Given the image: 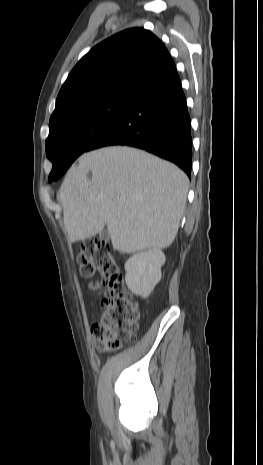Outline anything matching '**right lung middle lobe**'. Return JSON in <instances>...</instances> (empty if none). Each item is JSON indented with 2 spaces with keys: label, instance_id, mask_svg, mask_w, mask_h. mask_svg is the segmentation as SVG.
Returning a JSON list of instances; mask_svg holds the SVG:
<instances>
[{
  "label": "right lung middle lobe",
  "instance_id": "right-lung-middle-lobe-1",
  "mask_svg": "<svg viewBox=\"0 0 263 465\" xmlns=\"http://www.w3.org/2000/svg\"><path fill=\"white\" fill-rule=\"evenodd\" d=\"M133 98L112 96L92 100L50 119L46 155L53 167L49 182L59 179L79 155L88 151L125 114Z\"/></svg>",
  "mask_w": 263,
  "mask_h": 465
}]
</instances>
